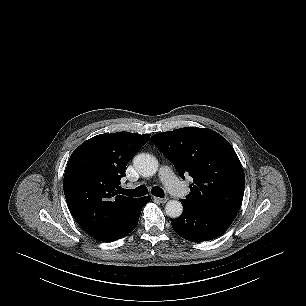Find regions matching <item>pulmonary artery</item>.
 I'll list each match as a JSON object with an SVG mask.
<instances>
[{"label":"pulmonary artery","instance_id":"1","mask_svg":"<svg viewBox=\"0 0 306 306\" xmlns=\"http://www.w3.org/2000/svg\"><path fill=\"white\" fill-rule=\"evenodd\" d=\"M160 180L168 191L176 197H183L186 190L169 166H162L159 171Z\"/></svg>","mask_w":306,"mask_h":306}]
</instances>
